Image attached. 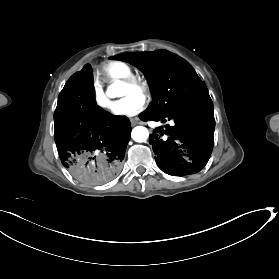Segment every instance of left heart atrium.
<instances>
[{
    "label": "left heart atrium",
    "instance_id": "obj_1",
    "mask_svg": "<svg viewBox=\"0 0 279 279\" xmlns=\"http://www.w3.org/2000/svg\"><path fill=\"white\" fill-rule=\"evenodd\" d=\"M145 107V100L141 95H131L122 98L112 107V112L117 116H134Z\"/></svg>",
    "mask_w": 279,
    "mask_h": 279
}]
</instances>
